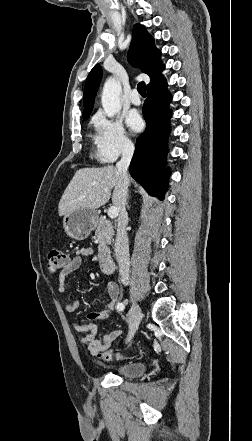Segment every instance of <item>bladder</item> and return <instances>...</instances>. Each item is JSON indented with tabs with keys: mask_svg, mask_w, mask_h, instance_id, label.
Wrapping results in <instances>:
<instances>
[{
	"mask_svg": "<svg viewBox=\"0 0 252 441\" xmlns=\"http://www.w3.org/2000/svg\"><path fill=\"white\" fill-rule=\"evenodd\" d=\"M109 371L124 377V378H137L146 372L145 362H131L119 366H106Z\"/></svg>",
	"mask_w": 252,
	"mask_h": 441,
	"instance_id": "1",
	"label": "bladder"
}]
</instances>
